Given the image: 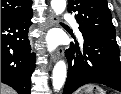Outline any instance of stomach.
I'll return each instance as SVG.
<instances>
[{"instance_id":"obj_1","label":"stomach","mask_w":121,"mask_h":94,"mask_svg":"<svg viewBox=\"0 0 121 94\" xmlns=\"http://www.w3.org/2000/svg\"><path fill=\"white\" fill-rule=\"evenodd\" d=\"M77 94H105V91L95 85H87L81 88Z\"/></svg>"}]
</instances>
